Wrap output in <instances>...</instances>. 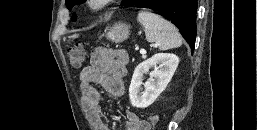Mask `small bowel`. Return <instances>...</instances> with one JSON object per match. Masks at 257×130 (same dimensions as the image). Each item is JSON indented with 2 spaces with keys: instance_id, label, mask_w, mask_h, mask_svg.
<instances>
[{
  "instance_id": "small-bowel-1",
  "label": "small bowel",
  "mask_w": 257,
  "mask_h": 130,
  "mask_svg": "<svg viewBox=\"0 0 257 130\" xmlns=\"http://www.w3.org/2000/svg\"><path fill=\"white\" fill-rule=\"evenodd\" d=\"M128 55L123 50L98 48L90 56V64L79 75L82 101L97 130H111L103 119L99 84L109 95L120 97L124 93ZM149 123L132 112H126L123 130H150Z\"/></svg>"
}]
</instances>
